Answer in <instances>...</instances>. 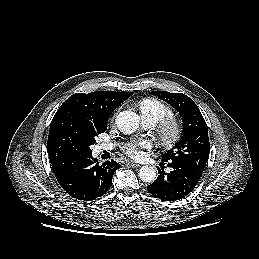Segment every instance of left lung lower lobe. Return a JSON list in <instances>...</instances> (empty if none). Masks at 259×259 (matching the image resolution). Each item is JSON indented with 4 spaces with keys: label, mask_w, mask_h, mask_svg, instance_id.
Returning <instances> with one entry per match:
<instances>
[{
    "label": "left lung lower lobe",
    "mask_w": 259,
    "mask_h": 259,
    "mask_svg": "<svg viewBox=\"0 0 259 259\" xmlns=\"http://www.w3.org/2000/svg\"><path fill=\"white\" fill-rule=\"evenodd\" d=\"M167 166L172 171L166 174L163 170L164 166L161 165V168H158L159 175L156 181L147 186L148 192L154 197L166 201L182 199L195 188L201 175L181 163L167 162Z\"/></svg>",
    "instance_id": "obj_1"
}]
</instances>
